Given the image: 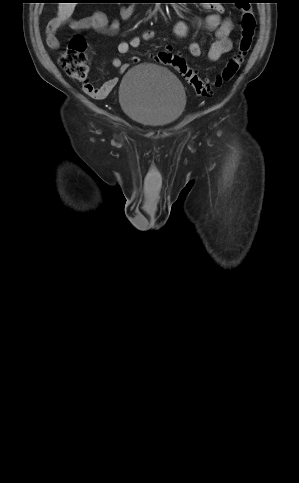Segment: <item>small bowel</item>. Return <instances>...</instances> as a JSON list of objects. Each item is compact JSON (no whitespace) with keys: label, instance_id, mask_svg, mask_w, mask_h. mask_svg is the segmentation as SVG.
Masks as SVG:
<instances>
[{"label":"small bowel","instance_id":"c3829d8e","mask_svg":"<svg viewBox=\"0 0 299 483\" xmlns=\"http://www.w3.org/2000/svg\"><path fill=\"white\" fill-rule=\"evenodd\" d=\"M211 12L207 14L201 23L208 29L214 31V41L211 43L208 52L207 59L210 62H217L224 54L229 53L232 49V41L230 34L232 32V23L229 19H223L222 13L224 7L221 5L211 6ZM122 19H128L132 10L127 7H122L120 10ZM61 21L59 19H53L50 21L47 27L46 41L50 48L57 49L59 47V41L56 35V31L60 26ZM69 27L75 31L94 30L106 35H116L121 27V22L118 19L108 20L106 15L97 11L90 17L72 20L69 22ZM189 28L184 21H178L172 28V33L179 39H183L188 35ZM157 37V32L153 29L145 30L141 35L134 36L130 40L121 41L118 44V51L121 54H127L132 48L140 46L143 41H151ZM188 50L191 56L200 57L202 55V49L199 43L191 42L188 45ZM140 62V58L133 56L128 63H124L120 58H113L112 65L119 70L120 73H124L130 65ZM118 78L112 77L105 81L102 85L96 87L90 84V88H86L83 85L84 91L95 99H104L117 85Z\"/></svg>","mask_w":299,"mask_h":483}]
</instances>
